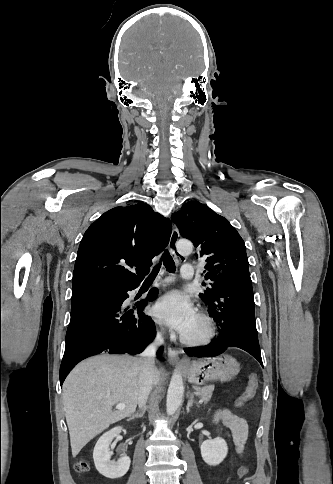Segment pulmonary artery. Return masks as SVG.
I'll return each mask as SVG.
<instances>
[{"instance_id": "e3ab8cb5", "label": "pulmonary artery", "mask_w": 333, "mask_h": 484, "mask_svg": "<svg viewBox=\"0 0 333 484\" xmlns=\"http://www.w3.org/2000/svg\"><path fill=\"white\" fill-rule=\"evenodd\" d=\"M195 273V266L190 263H186L181 268V276L185 279L192 278ZM170 282V279H166L165 283Z\"/></svg>"}]
</instances>
